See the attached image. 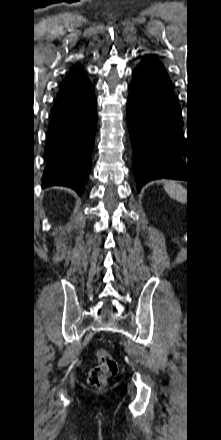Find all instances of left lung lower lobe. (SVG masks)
I'll list each match as a JSON object with an SVG mask.
<instances>
[{
  "label": "left lung lower lobe",
  "instance_id": "0a47b994",
  "mask_svg": "<svg viewBox=\"0 0 221 440\" xmlns=\"http://www.w3.org/2000/svg\"><path fill=\"white\" fill-rule=\"evenodd\" d=\"M132 74L127 122L138 191L155 179L188 180L182 112L163 64L146 56Z\"/></svg>",
  "mask_w": 221,
  "mask_h": 440
}]
</instances>
